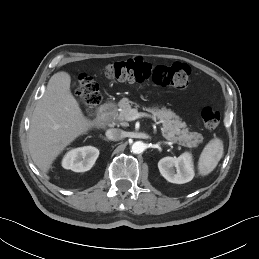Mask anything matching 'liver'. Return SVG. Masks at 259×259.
Returning <instances> with one entry per match:
<instances>
[{
	"mask_svg": "<svg viewBox=\"0 0 259 259\" xmlns=\"http://www.w3.org/2000/svg\"><path fill=\"white\" fill-rule=\"evenodd\" d=\"M70 83L67 72L55 73L31 117L29 151L35 165L45 174L66 146L94 126L72 95Z\"/></svg>",
	"mask_w": 259,
	"mask_h": 259,
	"instance_id": "obj_1",
	"label": "liver"
}]
</instances>
